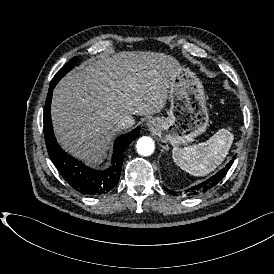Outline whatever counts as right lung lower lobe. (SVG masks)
<instances>
[{
  "label": "right lung lower lobe",
  "mask_w": 274,
  "mask_h": 274,
  "mask_svg": "<svg viewBox=\"0 0 274 274\" xmlns=\"http://www.w3.org/2000/svg\"><path fill=\"white\" fill-rule=\"evenodd\" d=\"M56 84L50 83L43 119L44 136L50 159L63 178L76 191L90 196L106 194L118 184L122 170L123 153L127 146L139 136L140 127L138 126L130 133L120 136L115 141L112 168L106 171H96L85 166L82 162L64 152L55 139L51 122L50 105L53 89Z\"/></svg>",
  "instance_id": "obj_1"
}]
</instances>
